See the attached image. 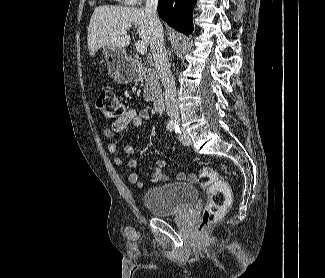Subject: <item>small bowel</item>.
Instances as JSON below:
<instances>
[{
  "instance_id": "obj_1",
  "label": "small bowel",
  "mask_w": 325,
  "mask_h": 278,
  "mask_svg": "<svg viewBox=\"0 0 325 278\" xmlns=\"http://www.w3.org/2000/svg\"><path fill=\"white\" fill-rule=\"evenodd\" d=\"M150 114L146 110H135L129 109L121 118L117 119L111 127L105 128L103 134L106 138L111 139L115 135L123 134L127 127L132 124L134 127H139L144 122L148 121ZM108 151L110 154L114 155V163L117 166L124 165V158L121 156V151L115 143H110L108 145ZM124 154L128 158V166L131 171L128 174V181L134 184L137 188H142L143 183L139 180V157L132 146H127L124 149ZM165 167L164 160H158L153 168V173L151 175L150 181L154 184L161 183L168 180V176L164 173L163 169ZM186 176L184 174H178L179 179H184Z\"/></svg>"
}]
</instances>
